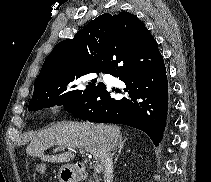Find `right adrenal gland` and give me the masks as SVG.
<instances>
[{
	"mask_svg": "<svg viewBox=\"0 0 211 182\" xmlns=\"http://www.w3.org/2000/svg\"><path fill=\"white\" fill-rule=\"evenodd\" d=\"M126 140H127V139H124V140H121V141L119 142V144H118V155L116 156L114 163L117 162V160H118V158H119V155H120V153H121V150H122V148H123L124 143L126 142Z\"/></svg>",
	"mask_w": 211,
	"mask_h": 182,
	"instance_id": "obj_1",
	"label": "right adrenal gland"
}]
</instances>
